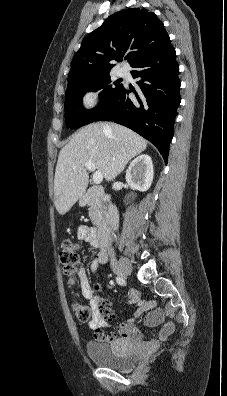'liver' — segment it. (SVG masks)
<instances>
[{"mask_svg":"<svg viewBox=\"0 0 227 396\" xmlns=\"http://www.w3.org/2000/svg\"><path fill=\"white\" fill-rule=\"evenodd\" d=\"M146 147L144 138L115 123H92L81 128L58 156L54 178L58 213L64 215L84 195L89 180L86 162H92L109 182Z\"/></svg>","mask_w":227,"mask_h":396,"instance_id":"liver-1","label":"liver"}]
</instances>
